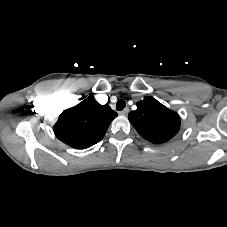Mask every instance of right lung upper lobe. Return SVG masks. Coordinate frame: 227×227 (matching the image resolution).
<instances>
[{"instance_id":"right-lung-upper-lobe-1","label":"right lung upper lobe","mask_w":227,"mask_h":227,"mask_svg":"<svg viewBox=\"0 0 227 227\" xmlns=\"http://www.w3.org/2000/svg\"><path fill=\"white\" fill-rule=\"evenodd\" d=\"M117 116L108 104L100 105L89 96L78 105L61 113L53 130L65 144L85 149L104 137L111 121Z\"/></svg>"}]
</instances>
